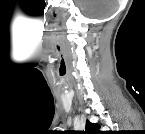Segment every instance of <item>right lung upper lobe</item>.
Segmentation results:
<instances>
[{
	"mask_svg": "<svg viewBox=\"0 0 145 134\" xmlns=\"http://www.w3.org/2000/svg\"><path fill=\"white\" fill-rule=\"evenodd\" d=\"M98 129H99L98 124L91 123L88 120L86 121V128H85L86 134H99L100 131Z\"/></svg>",
	"mask_w": 145,
	"mask_h": 134,
	"instance_id": "obj_1",
	"label": "right lung upper lobe"
}]
</instances>
